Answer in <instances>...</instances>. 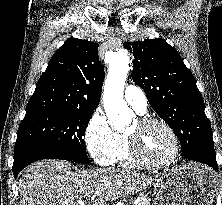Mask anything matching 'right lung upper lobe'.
I'll return each mask as SVG.
<instances>
[{
	"instance_id": "cb5924a9",
	"label": "right lung upper lobe",
	"mask_w": 222,
	"mask_h": 205,
	"mask_svg": "<svg viewBox=\"0 0 222 205\" xmlns=\"http://www.w3.org/2000/svg\"><path fill=\"white\" fill-rule=\"evenodd\" d=\"M98 43L68 39L38 80L26 114L56 109L95 110L105 77Z\"/></svg>"
}]
</instances>
